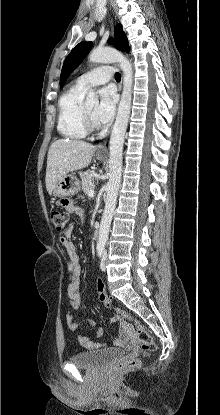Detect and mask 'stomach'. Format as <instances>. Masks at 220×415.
<instances>
[{
  "instance_id": "stomach-1",
  "label": "stomach",
  "mask_w": 220,
  "mask_h": 415,
  "mask_svg": "<svg viewBox=\"0 0 220 415\" xmlns=\"http://www.w3.org/2000/svg\"><path fill=\"white\" fill-rule=\"evenodd\" d=\"M102 159V158H98ZM81 189L80 181L75 174L66 175L56 183L53 195L57 197H68L77 194Z\"/></svg>"
}]
</instances>
